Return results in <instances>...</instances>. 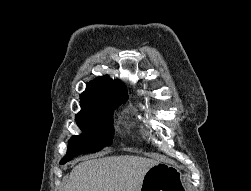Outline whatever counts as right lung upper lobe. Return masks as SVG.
I'll return each mask as SVG.
<instances>
[{"instance_id": "1", "label": "right lung upper lobe", "mask_w": 251, "mask_h": 191, "mask_svg": "<svg viewBox=\"0 0 251 191\" xmlns=\"http://www.w3.org/2000/svg\"><path fill=\"white\" fill-rule=\"evenodd\" d=\"M127 99L123 84L105 75L87 83L86 90L80 95V105L81 109L106 107L125 103Z\"/></svg>"}]
</instances>
